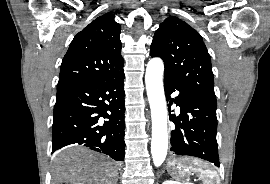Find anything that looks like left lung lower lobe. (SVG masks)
I'll use <instances>...</instances> for the list:
<instances>
[{"mask_svg": "<svg viewBox=\"0 0 270 184\" xmlns=\"http://www.w3.org/2000/svg\"><path fill=\"white\" fill-rule=\"evenodd\" d=\"M166 99L178 91L179 95L171 99L168 109L175 102L180 107V115L169 114L175 128L171 131V148L173 155L192 156L214 163L219 167L217 133V105L206 100L192 87L164 74Z\"/></svg>", "mask_w": 270, "mask_h": 184, "instance_id": "obj_1", "label": "left lung lower lobe"}]
</instances>
